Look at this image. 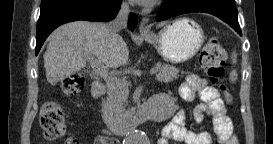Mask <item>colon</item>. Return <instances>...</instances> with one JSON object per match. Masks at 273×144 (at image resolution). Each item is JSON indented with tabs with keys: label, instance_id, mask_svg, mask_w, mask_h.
<instances>
[{
	"label": "colon",
	"instance_id": "1",
	"mask_svg": "<svg viewBox=\"0 0 273 144\" xmlns=\"http://www.w3.org/2000/svg\"><path fill=\"white\" fill-rule=\"evenodd\" d=\"M225 61L226 51L223 44L216 37L210 38L200 53L199 64L209 80L213 84L219 85L222 90L225 88L220 80L224 73ZM84 84V76L75 74L64 79L62 89L66 94L74 95L83 89ZM40 123L47 140H55L65 132L64 113L61 107L54 102H49L43 106Z\"/></svg>",
	"mask_w": 273,
	"mask_h": 144
}]
</instances>
